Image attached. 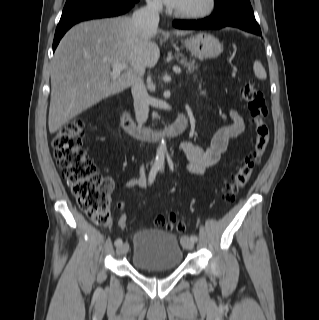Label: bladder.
Listing matches in <instances>:
<instances>
[{
	"mask_svg": "<svg viewBox=\"0 0 319 320\" xmlns=\"http://www.w3.org/2000/svg\"><path fill=\"white\" fill-rule=\"evenodd\" d=\"M179 239L163 229H145L133 236L132 267L141 272L174 270L183 262Z\"/></svg>",
	"mask_w": 319,
	"mask_h": 320,
	"instance_id": "obj_1",
	"label": "bladder"
}]
</instances>
